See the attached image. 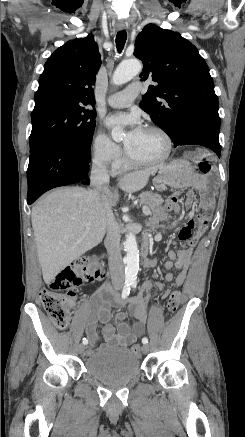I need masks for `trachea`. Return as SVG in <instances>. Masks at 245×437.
<instances>
[{"label":"trachea","mask_w":245,"mask_h":437,"mask_svg":"<svg viewBox=\"0 0 245 437\" xmlns=\"http://www.w3.org/2000/svg\"><path fill=\"white\" fill-rule=\"evenodd\" d=\"M126 39H127V34L124 30H121L117 33V35H116V48H117L118 53L122 52L124 45H125V42H126Z\"/></svg>","instance_id":"3493384b"}]
</instances>
